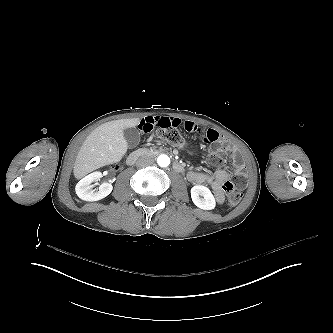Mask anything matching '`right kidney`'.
Here are the masks:
<instances>
[{
  "label": "right kidney",
  "mask_w": 333,
  "mask_h": 333,
  "mask_svg": "<svg viewBox=\"0 0 333 333\" xmlns=\"http://www.w3.org/2000/svg\"><path fill=\"white\" fill-rule=\"evenodd\" d=\"M101 177L102 173L96 171L81 179L75 187L77 196L85 201H98L108 196L113 189L110 183H102L98 190L93 189L94 186L91 185Z\"/></svg>",
  "instance_id": "ca27d5eb"
}]
</instances>
